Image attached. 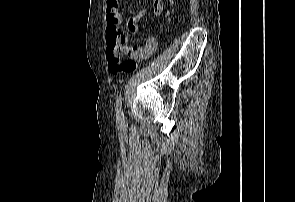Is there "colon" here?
<instances>
[{
	"label": "colon",
	"mask_w": 295,
	"mask_h": 202,
	"mask_svg": "<svg viewBox=\"0 0 295 202\" xmlns=\"http://www.w3.org/2000/svg\"><path fill=\"white\" fill-rule=\"evenodd\" d=\"M134 27L128 24L127 30L132 32L134 31ZM125 31L120 28L116 23L109 24L108 30H107V43L108 47H121V45L124 43Z\"/></svg>",
	"instance_id": "1"
}]
</instances>
